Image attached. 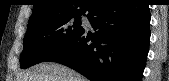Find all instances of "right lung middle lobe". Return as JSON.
<instances>
[{
  "label": "right lung middle lobe",
  "instance_id": "right-lung-middle-lobe-1",
  "mask_svg": "<svg viewBox=\"0 0 169 81\" xmlns=\"http://www.w3.org/2000/svg\"><path fill=\"white\" fill-rule=\"evenodd\" d=\"M82 30L81 15L51 17L29 23L20 57L21 68L45 61L73 41Z\"/></svg>",
  "mask_w": 169,
  "mask_h": 81
}]
</instances>
